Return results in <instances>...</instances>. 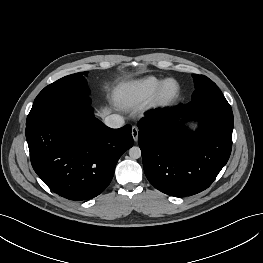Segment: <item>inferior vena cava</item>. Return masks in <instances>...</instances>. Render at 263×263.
<instances>
[{"instance_id":"obj_1","label":"inferior vena cava","mask_w":263,"mask_h":263,"mask_svg":"<svg viewBox=\"0 0 263 263\" xmlns=\"http://www.w3.org/2000/svg\"><path fill=\"white\" fill-rule=\"evenodd\" d=\"M104 123L110 128L117 129L124 125V119L118 114H111L105 118Z\"/></svg>"}]
</instances>
